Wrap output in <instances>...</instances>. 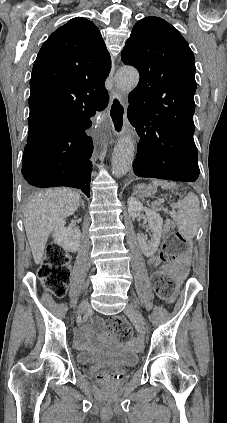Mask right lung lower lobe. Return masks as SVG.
Returning <instances> with one entry per match:
<instances>
[{
  "instance_id": "right-lung-lower-lobe-1",
  "label": "right lung lower lobe",
  "mask_w": 227,
  "mask_h": 423,
  "mask_svg": "<svg viewBox=\"0 0 227 423\" xmlns=\"http://www.w3.org/2000/svg\"><path fill=\"white\" fill-rule=\"evenodd\" d=\"M107 105L83 102L30 107L29 121L61 118L70 124L39 143L25 146L22 174L26 181L39 188L74 187L89 197L93 142L85 130L92 125L89 118Z\"/></svg>"
}]
</instances>
